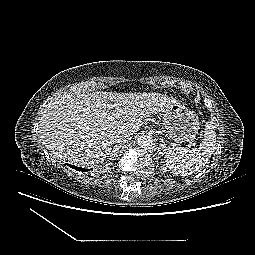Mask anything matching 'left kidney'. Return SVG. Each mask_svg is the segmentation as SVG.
Returning a JSON list of instances; mask_svg holds the SVG:
<instances>
[{
  "mask_svg": "<svg viewBox=\"0 0 255 255\" xmlns=\"http://www.w3.org/2000/svg\"><path fill=\"white\" fill-rule=\"evenodd\" d=\"M161 169H162L163 172H167V167H166V166L163 165V166L161 167Z\"/></svg>",
  "mask_w": 255,
  "mask_h": 255,
  "instance_id": "obj_1",
  "label": "left kidney"
}]
</instances>
